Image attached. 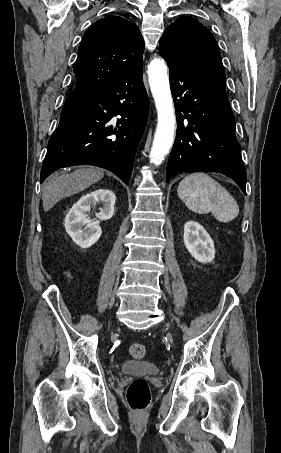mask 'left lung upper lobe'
Instances as JSON below:
<instances>
[{
  "label": "left lung upper lobe",
  "mask_w": 281,
  "mask_h": 453,
  "mask_svg": "<svg viewBox=\"0 0 281 453\" xmlns=\"http://www.w3.org/2000/svg\"><path fill=\"white\" fill-rule=\"evenodd\" d=\"M159 53L191 70L224 73L217 42L209 30L190 16H181L160 39Z\"/></svg>",
  "instance_id": "obj_1"
}]
</instances>
